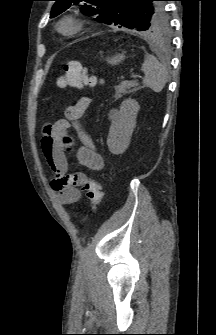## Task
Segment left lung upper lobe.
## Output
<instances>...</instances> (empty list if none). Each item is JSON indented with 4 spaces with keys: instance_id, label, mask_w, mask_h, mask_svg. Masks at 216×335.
Returning <instances> with one entry per match:
<instances>
[{
    "instance_id": "5c2ea615",
    "label": "left lung upper lobe",
    "mask_w": 216,
    "mask_h": 335,
    "mask_svg": "<svg viewBox=\"0 0 216 335\" xmlns=\"http://www.w3.org/2000/svg\"><path fill=\"white\" fill-rule=\"evenodd\" d=\"M50 18L56 17L71 5L86 2L80 10L95 21L138 31L162 33L169 29L164 0H54Z\"/></svg>"
}]
</instances>
